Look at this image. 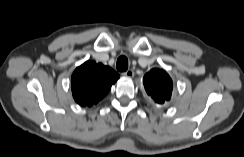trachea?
I'll return each mask as SVG.
<instances>
[{"mask_svg":"<svg viewBox=\"0 0 244 157\" xmlns=\"http://www.w3.org/2000/svg\"><path fill=\"white\" fill-rule=\"evenodd\" d=\"M117 70L124 72L128 69V59L125 56H120L116 63Z\"/></svg>","mask_w":244,"mask_h":157,"instance_id":"obj_1","label":"trachea"}]
</instances>
